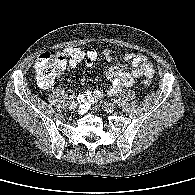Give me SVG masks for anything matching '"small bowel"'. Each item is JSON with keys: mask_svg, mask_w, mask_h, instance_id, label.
Segmentation results:
<instances>
[{"mask_svg": "<svg viewBox=\"0 0 195 195\" xmlns=\"http://www.w3.org/2000/svg\"><path fill=\"white\" fill-rule=\"evenodd\" d=\"M60 55L68 58V64L75 68L82 60H85L87 66H92L97 60V51L89 49L83 51L79 47H68L60 51ZM105 60L111 63L114 60L113 54L109 49L103 51ZM124 60L129 61L133 70H128L123 63L110 64L106 70V76L110 81V87L107 91L109 95H118L123 88L130 87L136 79L140 77L151 78L154 75L152 62L144 55L139 53H127ZM85 77H80V82L85 83ZM106 96L102 90L87 91L79 96L83 103L81 111H86L91 104L96 103Z\"/></svg>", "mask_w": 195, "mask_h": 195, "instance_id": "c3829d8e", "label": "small bowel"}]
</instances>
